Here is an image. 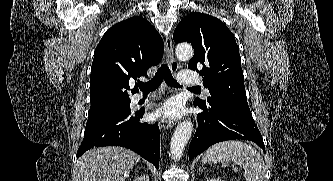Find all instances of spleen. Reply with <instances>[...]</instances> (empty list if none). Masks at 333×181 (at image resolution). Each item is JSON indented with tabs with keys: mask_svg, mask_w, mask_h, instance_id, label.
Returning a JSON list of instances; mask_svg holds the SVG:
<instances>
[{
	"mask_svg": "<svg viewBox=\"0 0 333 181\" xmlns=\"http://www.w3.org/2000/svg\"><path fill=\"white\" fill-rule=\"evenodd\" d=\"M204 164L234 162L244 169L246 181H263L265 164L261 154L241 141H225L211 146L202 158Z\"/></svg>",
	"mask_w": 333,
	"mask_h": 181,
	"instance_id": "spleen-1",
	"label": "spleen"
}]
</instances>
